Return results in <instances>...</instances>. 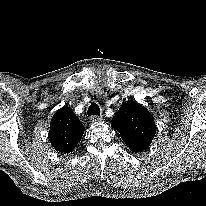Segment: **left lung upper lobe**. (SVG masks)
<instances>
[{
  "mask_svg": "<svg viewBox=\"0 0 206 206\" xmlns=\"http://www.w3.org/2000/svg\"><path fill=\"white\" fill-rule=\"evenodd\" d=\"M111 126L120 133L132 152L147 149L156 134L152 114L134 101L123 102L112 118Z\"/></svg>",
  "mask_w": 206,
  "mask_h": 206,
  "instance_id": "left-lung-upper-lobe-1",
  "label": "left lung upper lobe"
}]
</instances>
